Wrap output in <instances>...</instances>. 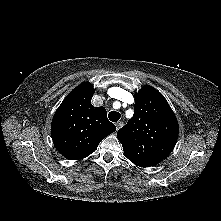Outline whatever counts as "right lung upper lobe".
I'll return each mask as SVG.
<instances>
[{"instance_id": "obj_1", "label": "right lung upper lobe", "mask_w": 221, "mask_h": 221, "mask_svg": "<svg viewBox=\"0 0 221 221\" xmlns=\"http://www.w3.org/2000/svg\"><path fill=\"white\" fill-rule=\"evenodd\" d=\"M90 83L77 86L57 109L51 126L56 149L70 160L82 159L93 153L99 142L116 127L107 119L104 107H94Z\"/></svg>"}]
</instances>
